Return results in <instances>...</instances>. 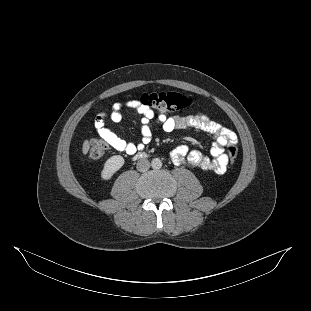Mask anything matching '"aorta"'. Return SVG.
<instances>
[{"label": "aorta", "mask_w": 311, "mask_h": 311, "mask_svg": "<svg viewBox=\"0 0 311 311\" xmlns=\"http://www.w3.org/2000/svg\"><path fill=\"white\" fill-rule=\"evenodd\" d=\"M151 166L153 169H160L162 167V160L160 158H154L151 161Z\"/></svg>", "instance_id": "aorta-1"}]
</instances>
